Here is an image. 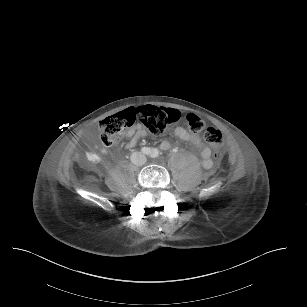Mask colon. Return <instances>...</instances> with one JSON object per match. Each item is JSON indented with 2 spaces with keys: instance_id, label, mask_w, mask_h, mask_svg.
<instances>
[{
  "instance_id": "5ec220e1",
  "label": "colon",
  "mask_w": 307,
  "mask_h": 307,
  "mask_svg": "<svg viewBox=\"0 0 307 307\" xmlns=\"http://www.w3.org/2000/svg\"><path fill=\"white\" fill-rule=\"evenodd\" d=\"M125 116H134L135 121L143 124L150 133L158 135L169 125L178 122L182 113L173 108H156L145 105L107 116L100 121L99 125L101 140L106 146H113L123 134L125 128L133 124L125 123ZM184 118L192 132L198 133L204 130L205 140L212 148L215 157L222 158L223 136L221 131L213 127L205 129L203 119L194 113L188 112L184 114Z\"/></svg>"
}]
</instances>
